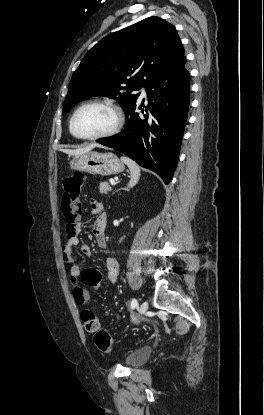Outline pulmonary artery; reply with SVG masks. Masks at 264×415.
Returning a JSON list of instances; mask_svg holds the SVG:
<instances>
[{
  "label": "pulmonary artery",
  "mask_w": 264,
  "mask_h": 415,
  "mask_svg": "<svg viewBox=\"0 0 264 415\" xmlns=\"http://www.w3.org/2000/svg\"><path fill=\"white\" fill-rule=\"evenodd\" d=\"M139 92H140V98H143V97H145L146 96V90H145V88H141L140 90H139Z\"/></svg>",
  "instance_id": "1"
}]
</instances>
